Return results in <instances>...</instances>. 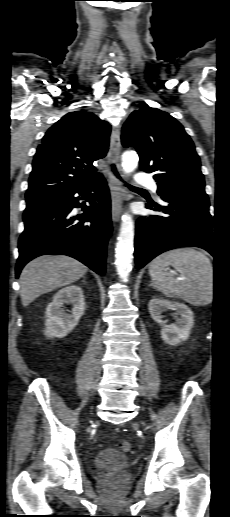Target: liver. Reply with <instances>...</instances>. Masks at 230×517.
Segmentation results:
<instances>
[{"mask_svg":"<svg viewBox=\"0 0 230 517\" xmlns=\"http://www.w3.org/2000/svg\"><path fill=\"white\" fill-rule=\"evenodd\" d=\"M88 268L65 255H44L30 261L20 274V297L27 307L41 294L69 285L82 278Z\"/></svg>","mask_w":230,"mask_h":517,"instance_id":"1","label":"liver"}]
</instances>
